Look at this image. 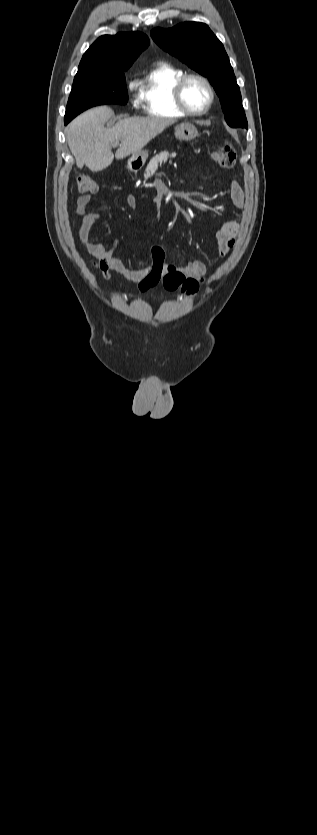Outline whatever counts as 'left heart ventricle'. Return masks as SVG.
Here are the masks:
<instances>
[{
  "instance_id": "b2bd125f",
  "label": "left heart ventricle",
  "mask_w": 317,
  "mask_h": 835,
  "mask_svg": "<svg viewBox=\"0 0 317 835\" xmlns=\"http://www.w3.org/2000/svg\"><path fill=\"white\" fill-rule=\"evenodd\" d=\"M184 98L192 110H202L209 101V91L206 85L197 79L190 80L184 91Z\"/></svg>"
}]
</instances>
